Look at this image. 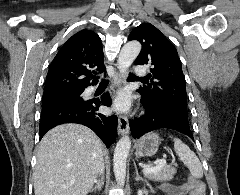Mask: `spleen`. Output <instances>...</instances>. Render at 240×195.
Listing matches in <instances>:
<instances>
[{"label": "spleen", "instance_id": "3e777b00", "mask_svg": "<svg viewBox=\"0 0 240 195\" xmlns=\"http://www.w3.org/2000/svg\"><path fill=\"white\" fill-rule=\"evenodd\" d=\"M173 141L176 155L187 165L191 175H193V177H203L201 161H199L196 153H194L186 143H183L181 139H178V137H173Z\"/></svg>", "mask_w": 240, "mask_h": 195}]
</instances>
